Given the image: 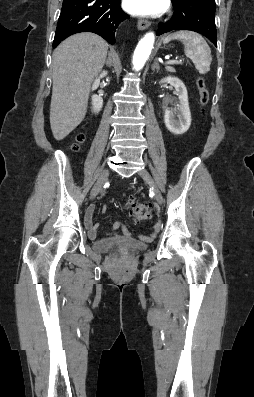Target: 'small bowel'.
Returning a JSON list of instances; mask_svg holds the SVG:
<instances>
[{
    "mask_svg": "<svg viewBox=\"0 0 254 397\" xmlns=\"http://www.w3.org/2000/svg\"><path fill=\"white\" fill-rule=\"evenodd\" d=\"M94 206L88 207V209L85 212L84 216V223L85 226L88 230V236L91 239H95L98 234V229H99V223L93 221V213H94ZM107 211V208H104V212ZM160 229V224H156L154 227V233L152 236H154ZM113 233L117 234L119 230L122 231V233L126 236H129V232L126 230L124 225L121 222H115L113 225ZM147 239H150V237H146Z\"/></svg>",
    "mask_w": 254,
    "mask_h": 397,
    "instance_id": "c3829d8e",
    "label": "small bowel"
}]
</instances>
